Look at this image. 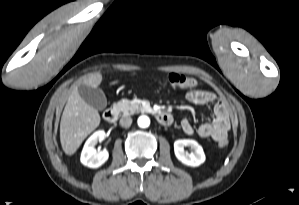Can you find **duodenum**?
Segmentation results:
<instances>
[{
    "label": "duodenum",
    "instance_id": "1",
    "mask_svg": "<svg viewBox=\"0 0 299 205\" xmlns=\"http://www.w3.org/2000/svg\"><path fill=\"white\" fill-rule=\"evenodd\" d=\"M103 118L108 123H114L118 118V110L114 107L107 108L103 113ZM156 118L162 125H170L173 121L172 115L167 112L157 113Z\"/></svg>",
    "mask_w": 299,
    "mask_h": 205
}]
</instances>
